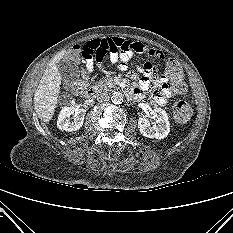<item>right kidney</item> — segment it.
<instances>
[{"label": "right kidney", "instance_id": "obj_1", "mask_svg": "<svg viewBox=\"0 0 233 233\" xmlns=\"http://www.w3.org/2000/svg\"><path fill=\"white\" fill-rule=\"evenodd\" d=\"M74 102L71 105L64 107L58 115L57 126L60 130L72 132L80 129L84 122V117L86 114L85 109H75ZM74 114L73 120L70 121L69 117Z\"/></svg>", "mask_w": 233, "mask_h": 233}]
</instances>
